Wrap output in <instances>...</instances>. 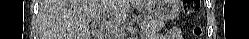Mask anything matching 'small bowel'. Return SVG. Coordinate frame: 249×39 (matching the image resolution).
<instances>
[{
    "label": "small bowel",
    "instance_id": "small-bowel-1",
    "mask_svg": "<svg viewBox=\"0 0 249 39\" xmlns=\"http://www.w3.org/2000/svg\"><path fill=\"white\" fill-rule=\"evenodd\" d=\"M180 35V31L179 29L177 28H172L170 29L167 33H166V36L168 38H175V37H178Z\"/></svg>",
    "mask_w": 249,
    "mask_h": 39
}]
</instances>
